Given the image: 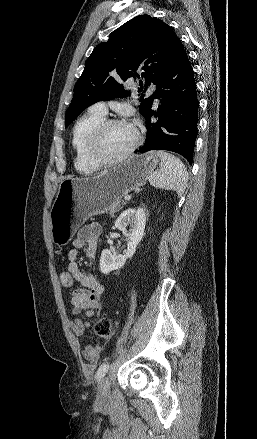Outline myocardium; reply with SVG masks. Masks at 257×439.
I'll use <instances>...</instances> for the list:
<instances>
[{
	"label": "myocardium",
	"mask_w": 257,
	"mask_h": 439,
	"mask_svg": "<svg viewBox=\"0 0 257 439\" xmlns=\"http://www.w3.org/2000/svg\"><path fill=\"white\" fill-rule=\"evenodd\" d=\"M126 124L134 128L136 137L133 143L122 153L113 158H104L100 153V143L106 130L114 125ZM142 135L139 129L131 122L124 119H104L91 132L87 142V152L91 161L97 165H109L121 162L128 158L141 144Z\"/></svg>",
	"instance_id": "f54148a6"
}]
</instances>
